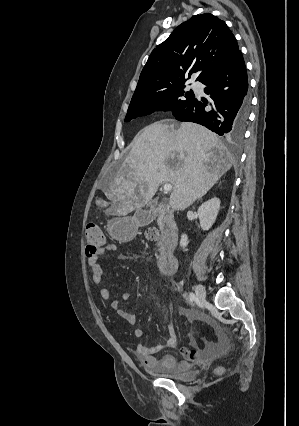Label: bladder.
Segmentation results:
<instances>
[{
	"instance_id": "31cf9c89",
	"label": "bladder",
	"mask_w": 299,
	"mask_h": 426,
	"mask_svg": "<svg viewBox=\"0 0 299 426\" xmlns=\"http://www.w3.org/2000/svg\"><path fill=\"white\" fill-rule=\"evenodd\" d=\"M147 369L152 374L160 375L174 381L187 382L192 381L197 377V373L193 369H158L150 367H147Z\"/></svg>"
}]
</instances>
